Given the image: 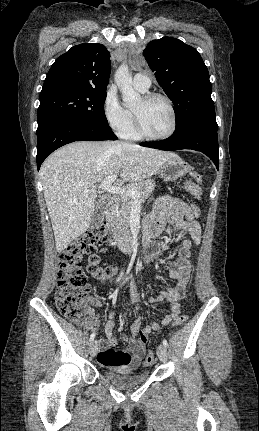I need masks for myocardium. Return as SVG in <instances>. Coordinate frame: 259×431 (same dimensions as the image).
I'll list each match as a JSON object with an SVG mask.
<instances>
[{
    "label": "myocardium",
    "instance_id": "1",
    "mask_svg": "<svg viewBox=\"0 0 259 431\" xmlns=\"http://www.w3.org/2000/svg\"><path fill=\"white\" fill-rule=\"evenodd\" d=\"M142 99L145 102H149V101L154 100V99L163 100L167 104L169 111H170V114H171V126H170L169 130L162 135H151L145 130V128L142 124V121L140 119V116L136 112L132 111L133 120H134V127H135L137 134L143 139L153 140V141H159V140H164V139L170 138L175 133L176 128H177V114H176V110H175V107H174L172 100L167 95H165L163 93H159V92L147 93V94L143 95Z\"/></svg>",
    "mask_w": 259,
    "mask_h": 431
}]
</instances>
